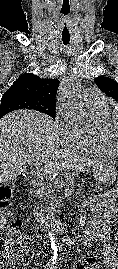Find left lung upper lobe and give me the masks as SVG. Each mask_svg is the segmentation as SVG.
Listing matches in <instances>:
<instances>
[{
    "instance_id": "1",
    "label": "left lung upper lobe",
    "mask_w": 118,
    "mask_h": 269,
    "mask_svg": "<svg viewBox=\"0 0 118 269\" xmlns=\"http://www.w3.org/2000/svg\"><path fill=\"white\" fill-rule=\"evenodd\" d=\"M95 83L99 89L118 101V83L106 76L97 77Z\"/></svg>"
}]
</instances>
